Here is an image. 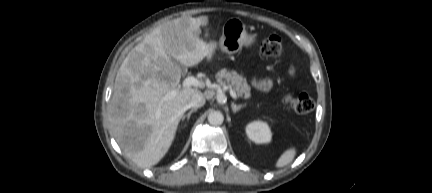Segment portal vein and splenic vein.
Wrapping results in <instances>:
<instances>
[{
    "label": "portal vein and splenic vein",
    "instance_id": "obj_1",
    "mask_svg": "<svg viewBox=\"0 0 432 193\" xmlns=\"http://www.w3.org/2000/svg\"><path fill=\"white\" fill-rule=\"evenodd\" d=\"M190 86L202 88L203 83L193 76H188L183 81L182 87L186 88V87H190ZM177 93H178V90H172L167 94V97L172 98V97L176 96ZM229 93L233 99H237V94L232 88L229 89Z\"/></svg>",
    "mask_w": 432,
    "mask_h": 193
}]
</instances>
